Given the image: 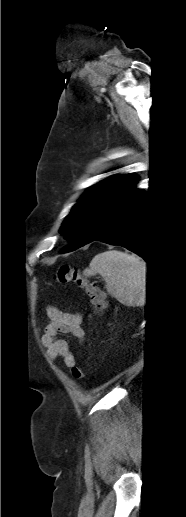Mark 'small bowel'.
Returning a JSON list of instances; mask_svg holds the SVG:
<instances>
[{"instance_id": "small-bowel-1", "label": "small bowel", "mask_w": 186, "mask_h": 517, "mask_svg": "<svg viewBox=\"0 0 186 517\" xmlns=\"http://www.w3.org/2000/svg\"><path fill=\"white\" fill-rule=\"evenodd\" d=\"M49 323L45 327L42 342L50 360H61L66 367H73L76 363L67 340L59 337L68 334L82 341L85 332L82 328V315L69 313L50 306L47 310Z\"/></svg>"}]
</instances>
